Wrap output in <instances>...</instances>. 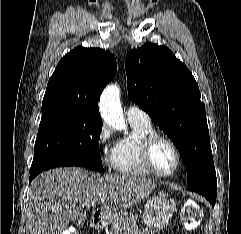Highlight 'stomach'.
<instances>
[{
	"mask_svg": "<svg viewBox=\"0 0 241 234\" xmlns=\"http://www.w3.org/2000/svg\"><path fill=\"white\" fill-rule=\"evenodd\" d=\"M173 213L174 206L169 199L156 196L148 200L143 212L144 234H154L163 229L170 222ZM113 222L120 226L124 234H140L132 218L126 212L119 213L113 218Z\"/></svg>",
	"mask_w": 241,
	"mask_h": 234,
	"instance_id": "obj_1",
	"label": "stomach"
}]
</instances>
